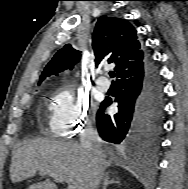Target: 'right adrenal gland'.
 Returning <instances> with one entry per match:
<instances>
[{
  "label": "right adrenal gland",
  "mask_w": 188,
  "mask_h": 189,
  "mask_svg": "<svg viewBox=\"0 0 188 189\" xmlns=\"http://www.w3.org/2000/svg\"><path fill=\"white\" fill-rule=\"evenodd\" d=\"M114 183L119 184L120 181L114 180V179H110V177H109V172H107V173L105 174V177H104L103 189H107V187H108L110 184H114Z\"/></svg>",
  "instance_id": "obj_1"
}]
</instances>
